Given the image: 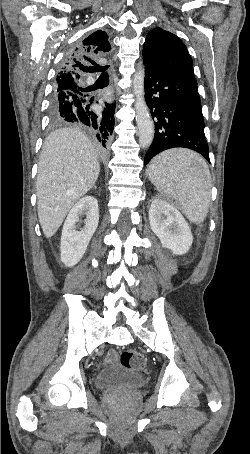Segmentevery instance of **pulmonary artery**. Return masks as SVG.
<instances>
[{"instance_id":"obj_1","label":"pulmonary artery","mask_w":250,"mask_h":454,"mask_svg":"<svg viewBox=\"0 0 250 454\" xmlns=\"http://www.w3.org/2000/svg\"><path fill=\"white\" fill-rule=\"evenodd\" d=\"M86 83H87V84H93V83H94V79H93V78H88V79L86 80Z\"/></svg>"}]
</instances>
